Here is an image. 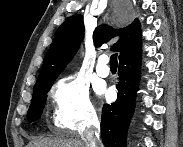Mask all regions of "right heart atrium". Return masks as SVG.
I'll return each mask as SVG.
<instances>
[{
	"mask_svg": "<svg viewBox=\"0 0 183 147\" xmlns=\"http://www.w3.org/2000/svg\"><path fill=\"white\" fill-rule=\"evenodd\" d=\"M53 122L56 127L73 132L83 131L97 121L88 85L76 75L58 80L51 89Z\"/></svg>",
	"mask_w": 183,
	"mask_h": 147,
	"instance_id": "right-heart-atrium-1",
	"label": "right heart atrium"
}]
</instances>
